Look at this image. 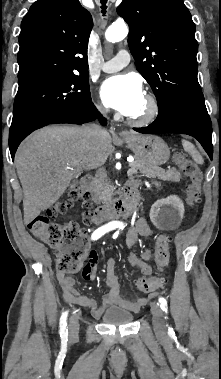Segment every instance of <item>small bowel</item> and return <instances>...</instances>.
<instances>
[{
    "label": "small bowel",
    "instance_id": "1",
    "mask_svg": "<svg viewBox=\"0 0 221 379\" xmlns=\"http://www.w3.org/2000/svg\"><path fill=\"white\" fill-rule=\"evenodd\" d=\"M152 234V228L144 218H139L129 228L126 234L125 243L127 248L131 250L128 256V261L131 265L138 267L141 273L145 276L152 273V267L149 264L151 251L149 249H144L140 255H138L133 251V248L140 236L151 237ZM100 258V253H96L94 250L89 252L87 259L88 264H83L80 269L81 274H84L85 282H96V273L100 270ZM57 279L65 301L90 309L92 315L96 318L100 317L105 310L112 305H120L136 311L145 303V299L127 300L121 297L119 278L115 270V261L113 258H109L106 262L105 283L108 291L103 296L100 304H98L94 298L79 293L74 287L75 280L72 277L58 271Z\"/></svg>",
    "mask_w": 221,
    "mask_h": 379
}]
</instances>
